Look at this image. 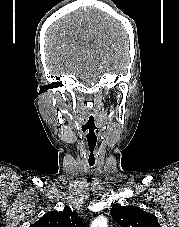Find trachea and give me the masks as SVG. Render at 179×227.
Listing matches in <instances>:
<instances>
[{"instance_id": "3493384b", "label": "trachea", "mask_w": 179, "mask_h": 227, "mask_svg": "<svg viewBox=\"0 0 179 227\" xmlns=\"http://www.w3.org/2000/svg\"><path fill=\"white\" fill-rule=\"evenodd\" d=\"M96 154H97V151L96 150H89L88 151V154H87V157L89 158L88 159V165L90 166V167H92V166H94L95 165V159H96Z\"/></svg>"}]
</instances>
